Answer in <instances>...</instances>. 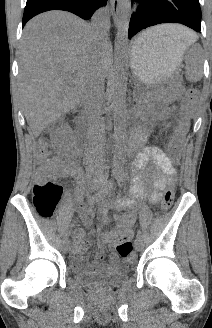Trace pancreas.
Masks as SVG:
<instances>
[{"mask_svg":"<svg viewBox=\"0 0 212 328\" xmlns=\"http://www.w3.org/2000/svg\"><path fill=\"white\" fill-rule=\"evenodd\" d=\"M137 100H138L137 107L140 110L143 109V108L152 106L154 101H155L153 95H151V94L140 95L137 98Z\"/></svg>","mask_w":212,"mask_h":328,"instance_id":"1","label":"pancreas"}]
</instances>
